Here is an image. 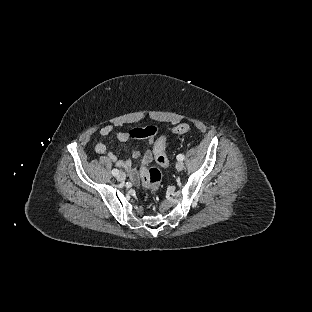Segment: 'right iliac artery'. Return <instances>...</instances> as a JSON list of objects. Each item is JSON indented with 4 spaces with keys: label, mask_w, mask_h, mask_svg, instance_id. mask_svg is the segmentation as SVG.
Returning <instances> with one entry per match:
<instances>
[{
    "label": "right iliac artery",
    "mask_w": 312,
    "mask_h": 312,
    "mask_svg": "<svg viewBox=\"0 0 312 312\" xmlns=\"http://www.w3.org/2000/svg\"><path fill=\"white\" fill-rule=\"evenodd\" d=\"M112 174H113L114 176H117V175L119 174V170L113 169V170H112Z\"/></svg>",
    "instance_id": "1"
}]
</instances>
